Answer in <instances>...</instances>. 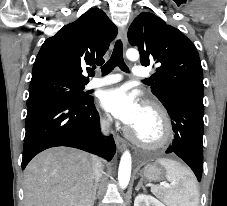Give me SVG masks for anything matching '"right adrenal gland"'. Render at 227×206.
<instances>
[{"instance_id":"2a0ac1e0","label":"right adrenal gland","mask_w":227,"mask_h":206,"mask_svg":"<svg viewBox=\"0 0 227 206\" xmlns=\"http://www.w3.org/2000/svg\"><path fill=\"white\" fill-rule=\"evenodd\" d=\"M98 189V183L95 184L94 191H93V203L92 206H94V201L96 199V191Z\"/></svg>"}]
</instances>
